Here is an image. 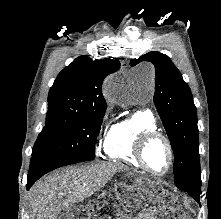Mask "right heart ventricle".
<instances>
[{
  "instance_id": "right-heart-ventricle-1",
  "label": "right heart ventricle",
  "mask_w": 221,
  "mask_h": 219,
  "mask_svg": "<svg viewBox=\"0 0 221 219\" xmlns=\"http://www.w3.org/2000/svg\"><path fill=\"white\" fill-rule=\"evenodd\" d=\"M146 130H157L156 119L150 111H135L113 123L104 143L107 157L141 167L134 156V145L138 136Z\"/></svg>"
}]
</instances>
